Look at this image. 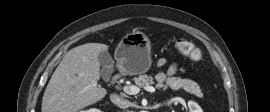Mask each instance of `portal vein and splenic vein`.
<instances>
[{"mask_svg": "<svg viewBox=\"0 0 270 112\" xmlns=\"http://www.w3.org/2000/svg\"><path fill=\"white\" fill-rule=\"evenodd\" d=\"M144 89L148 92H151V93L156 92V89L153 86H146V87H144ZM123 90L125 93H127L129 95H136L140 92V88L135 86V85L124 86Z\"/></svg>", "mask_w": 270, "mask_h": 112, "instance_id": "portal-vein-and-splenic-vein-1", "label": "portal vein and splenic vein"}]
</instances>
